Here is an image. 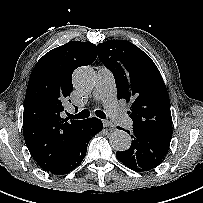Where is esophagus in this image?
Returning <instances> with one entry per match:
<instances>
[{
    "instance_id": "obj_1",
    "label": "esophagus",
    "mask_w": 203,
    "mask_h": 203,
    "mask_svg": "<svg viewBox=\"0 0 203 203\" xmlns=\"http://www.w3.org/2000/svg\"><path fill=\"white\" fill-rule=\"evenodd\" d=\"M103 125L106 128H110V130L114 129V127H115L114 124L112 122L108 121V120H104Z\"/></svg>"
}]
</instances>
